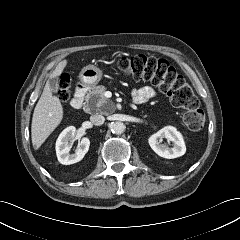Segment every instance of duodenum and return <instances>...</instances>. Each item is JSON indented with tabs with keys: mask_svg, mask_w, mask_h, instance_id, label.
Returning a JSON list of instances; mask_svg holds the SVG:
<instances>
[{
	"mask_svg": "<svg viewBox=\"0 0 240 240\" xmlns=\"http://www.w3.org/2000/svg\"><path fill=\"white\" fill-rule=\"evenodd\" d=\"M87 88L85 86H78L75 90V95L71 100V107L74 110H78L82 107L84 96L86 94Z\"/></svg>",
	"mask_w": 240,
	"mask_h": 240,
	"instance_id": "1",
	"label": "duodenum"
}]
</instances>
